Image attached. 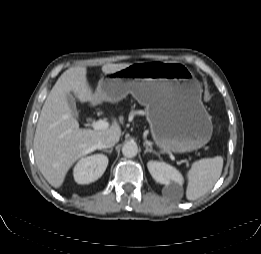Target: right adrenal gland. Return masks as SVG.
<instances>
[{"label": "right adrenal gland", "instance_id": "2a0ac1e0", "mask_svg": "<svg viewBox=\"0 0 261 254\" xmlns=\"http://www.w3.org/2000/svg\"><path fill=\"white\" fill-rule=\"evenodd\" d=\"M103 151H104V152H106V153H109V154H111V153H112V151H113V148H111V149H103Z\"/></svg>", "mask_w": 261, "mask_h": 254}]
</instances>
